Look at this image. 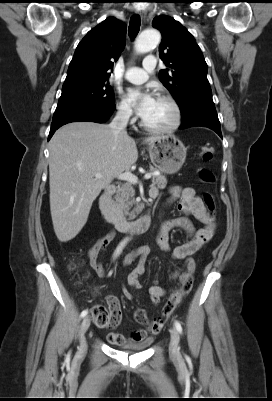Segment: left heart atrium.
<instances>
[{
	"mask_svg": "<svg viewBox=\"0 0 272 401\" xmlns=\"http://www.w3.org/2000/svg\"><path fill=\"white\" fill-rule=\"evenodd\" d=\"M125 101L133 105L137 114L143 118L151 109L155 96L149 88H133L127 91Z\"/></svg>",
	"mask_w": 272,
	"mask_h": 401,
	"instance_id": "1",
	"label": "left heart atrium"
}]
</instances>
